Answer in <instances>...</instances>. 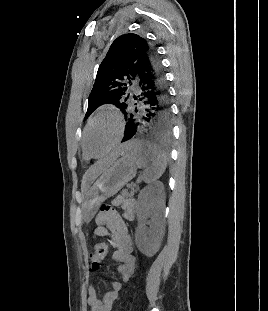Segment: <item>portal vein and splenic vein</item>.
<instances>
[{"label": "portal vein and splenic vein", "instance_id": "18ae733b", "mask_svg": "<svg viewBox=\"0 0 268 311\" xmlns=\"http://www.w3.org/2000/svg\"><path fill=\"white\" fill-rule=\"evenodd\" d=\"M128 193L127 192H123V195H127Z\"/></svg>", "mask_w": 268, "mask_h": 311}]
</instances>
